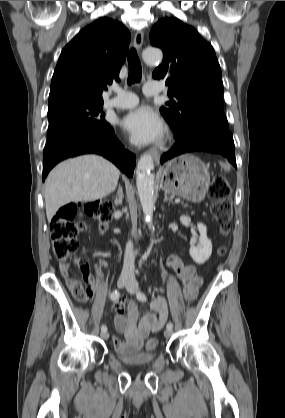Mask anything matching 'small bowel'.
<instances>
[{
	"mask_svg": "<svg viewBox=\"0 0 285 418\" xmlns=\"http://www.w3.org/2000/svg\"><path fill=\"white\" fill-rule=\"evenodd\" d=\"M168 267L173 270L178 278L184 282L182 293L186 299H195L199 293V289L203 284L202 276L197 272L192 264H185L180 256H170L167 260ZM72 266L81 269V278L84 284L88 287L90 297L98 292L97 285L92 277L89 263L80 259L74 258ZM64 280L68 287L72 290L76 280L68 273L64 275ZM84 303V302H83ZM123 299H118L113 304V309L116 312L115 324L117 329L124 333L126 342H122L117 336L112 337L115 349L121 352H129L131 350H139L142 346L143 340L151 333L162 328L168 318V309L165 299L160 296H154L151 306L152 312L146 313L140 317V312L134 302H128L127 315L123 313ZM140 318V320H139ZM139 320V322H138Z\"/></svg>",
	"mask_w": 285,
	"mask_h": 418,
	"instance_id": "small-bowel-1",
	"label": "small bowel"
}]
</instances>
